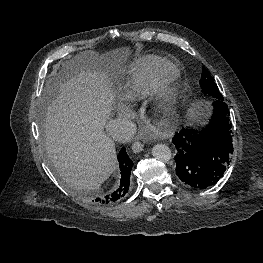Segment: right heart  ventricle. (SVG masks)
Listing matches in <instances>:
<instances>
[{"label": "right heart ventricle", "mask_w": 263, "mask_h": 263, "mask_svg": "<svg viewBox=\"0 0 263 263\" xmlns=\"http://www.w3.org/2000/svg\"><path fill=\"white\" fill-rule=\"evenodd\" d=\"M176 68L163 60H144L134 64L128 72L127 90L131 100L148 96L158 83L175 77Z\"/></svg>", "instance_id": "obj_1"}]
</instances>
